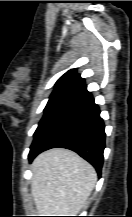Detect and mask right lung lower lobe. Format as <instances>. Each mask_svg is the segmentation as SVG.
Returning a JSON list of instances; mask_svg holds the SVG:
<instances>
[{
	"label": "right lung lower lobe",
	"mask_w": 132,
	"mask_h": 217,
	"mask_svg": "<svg viewBox=\"0 0 132 217\" xmlns=\"http://www.w3.org/2000/svg\"><path fill=\"white\" fill-rule=\"evenodd\" d=\"M58 147L75 151L101 174L104 123L91 94L76 98L55 116L31 145L29 161L45 150Z\"/></svg>",
	"instance_id": "obj_1"
}]
</instances>
